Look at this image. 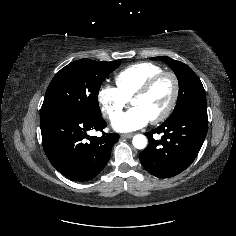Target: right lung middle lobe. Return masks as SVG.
I'll return each mask as SVG.
<instances>
[{"label": "right lung middle lobe", "instance_id": "obj_1", "mask_svg": "<svg viewBox=\"0 0 236 236\" xmlns=\"http://www.w3.org/2000/svg\"><path fill=\"white\" fill-rule=\"evenodd\" d=\"M121 61L80 59L62 68L46 90L40 118L57 111H71L90 118H101L99 89Z\"/></svg>", "mask_w": 236, "mask_h": 236}]
</instances>
